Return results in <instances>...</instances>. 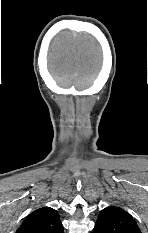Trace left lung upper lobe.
Returning <instances> with one entry per match:
<instances>
[{
    "label": "left lung upper lobe",
    "instance_id": "5c2ea615",
    "mask_svg": "<svg viewBox=\"0 0 148 233\" xmlns=\"http://www.w3.org/2000/svg\"><path fill=\"white\" fill-rule=\"evenodd\" d=\"M93 233H141L132 216L121 208H104L97 219Z\"/></svg>",
    "mask_w": 148,
    "mask_h": 233
}]
</instances>
